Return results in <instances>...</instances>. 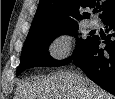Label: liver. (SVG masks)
<instances>
[{
	"label": "liver",
	"mask_w": 115,
	"mask_h": 99,
	"mask_svg": "<svg viewBox=\"0 0 115 99\" xmlns=\"http://www.w3.org/2000/svg\"><path fill=\"white\" fill-rule=\"evenodd\" d=\"M14 99H113L88 78L59 72L18 85Z\"/></svg>",
	"instance_id": "1"
}]
</instances>
